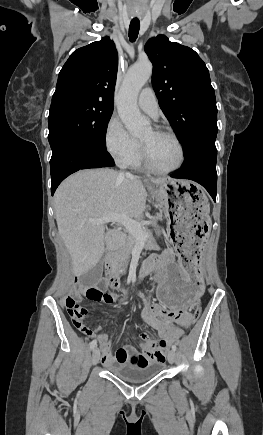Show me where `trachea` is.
Wrapping results in <instances>:
<instances>
[{"label":"trachea","instance_id":"1","mask_svg":"<svg viewBox=\"0 0 263 435\" xmlns=\"http://www.w3.org/2000/svg\"><path fill=\"white\" fill-rule=\"evenodd\" d=\"M140 28V21L139 20H131L130 26H129V39L131 42H135Z\"/></svg>","mask_w":263,"mask_h":435}]
</instances>
